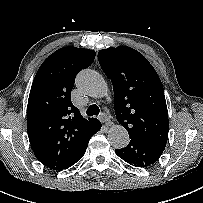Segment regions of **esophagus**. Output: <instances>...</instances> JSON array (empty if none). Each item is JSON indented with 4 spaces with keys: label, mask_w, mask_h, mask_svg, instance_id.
Segmentation results:
<instances>
[{
    "label": "esophagus",
    "mask_w": 203,
    "mask_h": 203,
    "mask_svg": "<svg viewBox=\"0 0 203 203\" xmlns=\"http://www.w3.org/2000/svg\"><path fill=\"white\" fill-rule=\"evenodd\" d=\"M99 119L102 123L106 124V125H111L112 122L110 120V118L105 114V113H101L99 116Z\"/></svg>",
    "instance_id": "34e87169"
}]
</instances>
